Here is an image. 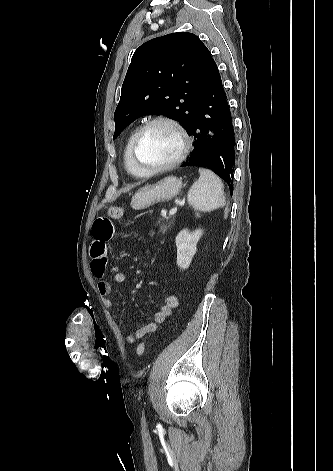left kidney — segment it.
Instances as JSON below:
<instances>
[{
  "label": "left kidney",
  "mask_w": 333,
  "mask_h": 471,
  "mask_svg": "<svg viewBox=\"0 0 333 471\" xmlns=\"http://www.w3.org/2000/svg\"><path fill=\"white\" fill-rule=\"evenodd\" d=\"M203 235V230L198 229L190 232L188 229L181 230L176 236L177 265L181 269H187L195 255L196 245Z\"/></svg>",
  "instance_id": "obj_1"
}]
</instances>
